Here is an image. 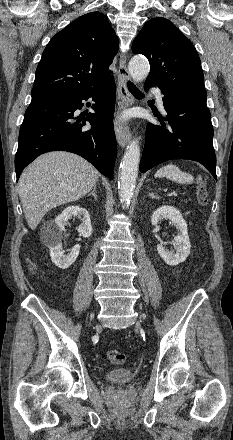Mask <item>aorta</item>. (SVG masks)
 Masks as SVG:
<instances>
[{
  "instance_id": "762f6f07",
  "label": "aorta",
  "mask_w": 233,
  "mask_h": 440,
  "mask_svg": "<svg viewBox=\"0 0 233 440\" xmlns=\"http://www.w3.org/2000/svg\"><path fill=\"white\" fill-rule=\"evenodd\" d=\"M149 63L144 56H134L128 65L129 73L136 82L144 80L149 74ZM140 162V146L137 139L133 140L127 147L119 174V195L121 202L130 204L136 184L138 167Z\"/></svg>"
}]
</instances>
